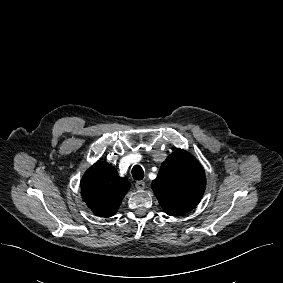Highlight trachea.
<instances>
[{"instance_id":"3493384b","label":"trachea","mask_w":283,"mask_h":283,"mask_svg":"<svg viewBox=\"0 0 283 283\" xmlns=\"http://www.w3.org/2000/svg\"><path fill=\"white\" fill-rule=\"evenodd\" d=\"M132 176L135 180H142L144 178V171L140 165H135L132 168Z\"/></svg>"}]
</instances>
